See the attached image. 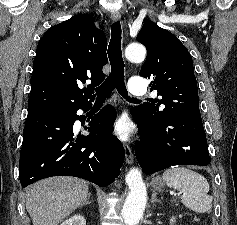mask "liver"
Segmentation results:
<instances>
[{
    "label": "liver",
    "instance_id": "obj_1",
    "mask_svg": "<svg viewBox=\"0 0 237 225\" xmlns=\"http://www.w3.org/2000/svg\"><path fill=\"white\" fill-rule=\"evenodd\" d=\"M84 180L59 176L40 180L25 190L26 210L33 225H58L88 196Z\"/></svg>",
    "mask_w": 237,
    "mask_h": 225
}]
</instances>
